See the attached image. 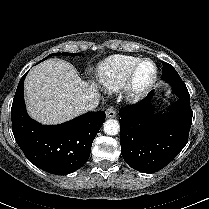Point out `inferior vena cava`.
Masks as SVG:
<instances>
[{
    "label": "inferior vena cava",
    "mask_w": 209,
    "mask_h": 209,
    "mask_svg": "<svg viewBox=\"0 0 209 209\" xmlns=\"http://www.w3.org/2000/svg\"><path fill=\"white\" fill-rule=\"evenodd\" d=\"M99 104V98L94 99L90 103H84L78 109L82 112L94 111Z\"/></svg>",
    "instance_id": "obj_1"
}]
</instances>
